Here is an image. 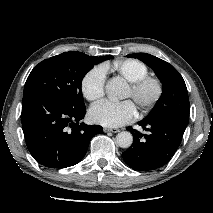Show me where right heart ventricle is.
<instances>
[{
	"label": "right heart ventricle",
	"instance_id": "1",
	"mask_svg": "<svg viewBox=\"0 0 213 213\" xmlns=\"http://www.w3.org/2000/svg\"><path fill=\"white\" fill-rule=\"evenodd\" d=\"M106 69H109V67L106 66L105 70ZM112 69L130 83L148 76L149 73L148 67L144 63L135 59L118 61L112 65Z\"/></svg>",
	"mask_w": 213,
	"mask_h": 213
}]
</instances>
